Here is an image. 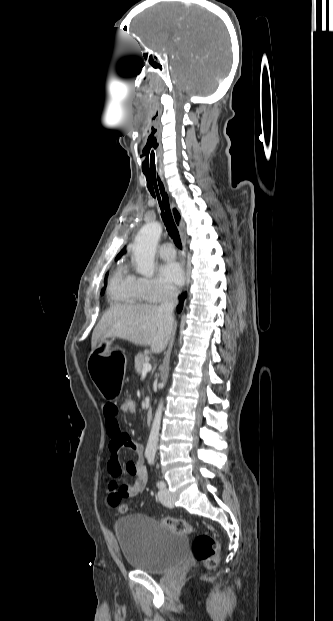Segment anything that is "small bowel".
Segmentation results:
<instances>
[{"label":"small bowel","instance_id":"obj_1","mask_svg":"<svg viewBox=\"0 0 333 621\" xmlns=\"http://www.w3.org/2000/svg\"><path fill=\"white\" fill-rule=\"evenodd\" d=\"M102 411L106 434L110 439L109 451L111 454L108 460V472L111 478L108 484V503L117 507L123 499L133 498L144 491L148 474L143 465L142 445L120 428L118 415L122 412L121 407L109 402L104 404ZM122 449L133 450L136 453V459L128 460L122 464L118 456ZM122 474L133 477L134 481L131 484H121L119 478Z\"/></svg>","mask_w":333,"mask_h":621}]
</instances>
